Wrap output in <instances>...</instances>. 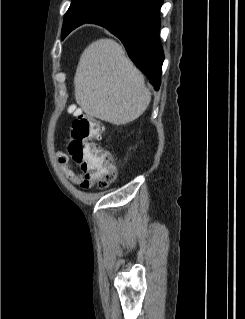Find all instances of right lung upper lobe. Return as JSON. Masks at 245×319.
Returning <instances> with one entry per match:
<instances>
[{"label":"right lung upper lobe","instance_id":"right-lung-upper-lobe-1","mask_svg":"<svg viewBox=\"0 0 245 319\" xmlns=\"http://www.w3.org/2000/svg\"><path fill=\"white\" fill-rule=\"evenodd\" d=\"M82 1L83 0H72L70 8L65 14L63 25L71 20H73V22L62 30L63 37L79 25L90 22L94 19L87 11L81 8Z\"/></svg>","mask_w":245,"mask_h":319}]
</instances>
